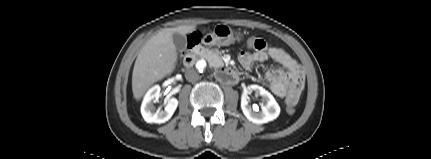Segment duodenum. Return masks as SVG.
Instances as JSON below:
<instances>
[{"mask_svg": "<svg viewBox=\"0 0 431 159\" xmlns=\"http://www.w3.org/2000/svg\"><path fill=\"white\" fill-rule=\"evenodd\" d=\"M193 46V50L187 53L184 57V65L189 68L194 65L196 61V48L198 45H195V42L191 43ZM218 77L225 83L232 84L237 82L238 73L231 68H221L218 72Z\"/></svg>", "mask_w": 431, "mask_h": 159, "instance_id": "duodenum-1", "label": "duodenum"}]
</instances>
